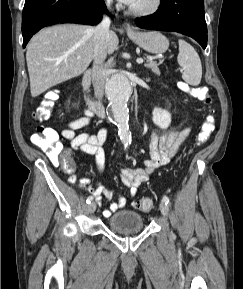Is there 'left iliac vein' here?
<instances>
[{
	"label": "left iliac vein",
	"instance_id": "left-iliac-vein-1",
	"mask_svg": "<svg viewBox=\"0 0 243 289\" xmlns=\"http://www.w3.org/2000/svg\"><path fill=\"white\" fill-rule=\"evenodd\" d=\"M160 211H161V213H162L164 216H167V215H168L169 208H168V206L165 204V202H161V203H160Z\"/></svg>",
	"mask_w": 243,
	"mask_h": 289
}]
</instances>
